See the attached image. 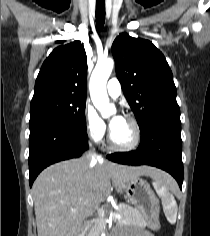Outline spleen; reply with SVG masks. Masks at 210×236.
I'll use <instances>...</instances> for the list:
<instances>
[{"label": "spleen", "mask_w": 210, "mask_h": 236, "mask_svg": "<svg viewBox=\"0 0 210 236\" xmlns=\"http://www.w3.org/2000/svg\"><path fill=\"white\" fill-rule=\"evenodd\" d=\"M174 182H170L164 179H155L153 182L154 189L158 196L161 198L164 213L167 220L174 224L177 217V203L171 192Z\"/></svg>", "instance_id": "spleen-1"}]
</instances>
